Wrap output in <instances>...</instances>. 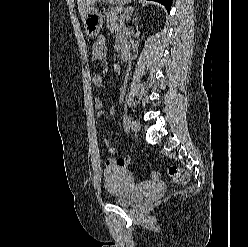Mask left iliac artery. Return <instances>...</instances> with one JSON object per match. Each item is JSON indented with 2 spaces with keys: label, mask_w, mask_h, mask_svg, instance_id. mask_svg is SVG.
I'll return each mask as SVG.
<instances>
[{
  "label": "left iliac artery",
  "mask_w": 248,
  "mask_h": 247,
  "mask_svg": "<svg viewBox=\"0 0 248 247\" xmlns=\"http://www.w3.org/2000/svg\"><path fill=\"white\" fill-rule=\"evenodd\" d=\"M131 118L129 116H126L125 119H124V126H125V129L128 130L129 129V124H130V121Z\"/></svg>",
  "instance_id": "1"
}]
</instances>
